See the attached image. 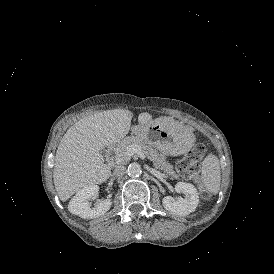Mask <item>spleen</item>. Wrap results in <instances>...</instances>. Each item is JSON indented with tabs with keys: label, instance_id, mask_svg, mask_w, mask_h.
<instances>
[{
	"label": "spleen",
	"instance_id": "1",
	"mask_svg": "<svg viewBox=\"0 0 274 274\" xmlns=\"http://www.w3.org/2000/svg\"><path fill=\"white\" fill-rule=\"evenodd\" d=\"M203 184L210 192L216 193L220 187V164L215 156L210 155L202 162Z\"/></svg>",
	"mask_w": 274,
	"mask_h": 274
}]
</instances>
